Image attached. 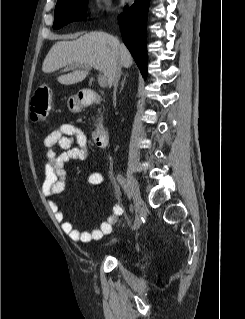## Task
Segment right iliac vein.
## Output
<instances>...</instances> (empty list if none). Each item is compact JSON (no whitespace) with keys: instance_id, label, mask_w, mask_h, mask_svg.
<instances>
[{"instance_id":"right-iliac-vein-1","label":"right iliac vein","mask_w":245,"mask_h":319,"mask_svg":"<svg viewBox=\"0 0 245 319\" xmlns=\"http://www.w3.org/2000/svg\"><path fill=\"white\" fill-rule=\"evenodd\" d=\"M125 187L127 194L132 197L134 208L136 212H139L141 210V206L143 204L138 184L136 179L133 176H128L127 180L125 181ZM140 226V225H139Z\"/></svg>"}]
</instances>
